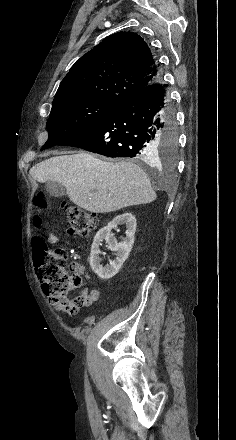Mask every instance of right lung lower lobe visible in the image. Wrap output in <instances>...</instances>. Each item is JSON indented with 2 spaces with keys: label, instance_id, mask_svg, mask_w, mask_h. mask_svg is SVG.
I'll list each match as a JSON object with an SVG mask.
<instances>
[{
  "label": "right lung lower lobe",
  "instance_id": "98d812e1",
  "mask_svg": "<svg viewBox=\"0 0 236 440\" xmlns=\"http://www.w3.org/2000/svg\"><path fill=\"white\" fill-rule=\"evenodd\" d=\"M166 130H175V119L168 105L166 85L158 79L92 127L60 145L80 147L108 157L150 161L159 136Z\"/></svg>",
  "mask_w": 236,
  "mask_h": 440
}]
</instances>
